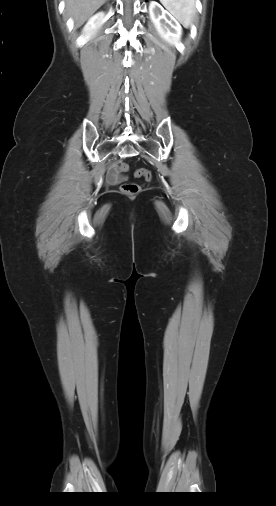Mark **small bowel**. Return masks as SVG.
<instances>
[{"label": "small bowel", "mask_w": 276, "mask_h": 506, "mask_svg": "<svg viewBox=\"0 0 276 506\" xmlns=\"http://www.w3.org/2000/svg\"><path fill=\"white\" fill-rule=\"evenodd\" d=\"M107 180L111 183H118L121 181V177L114 166L108 170Z\"/></svg>", "instance_id": "c3829d8e"}]
</instances>
